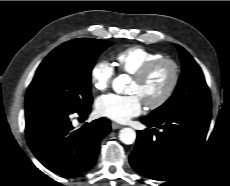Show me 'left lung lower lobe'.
<instances>
[{"mask_svg":"<svg viewBox=\"0 0 230 186\" xmlns=\"http://www.w3.org/2000/svg\"><path fill=\"white\" fill-rule=\"evenodd\" d=\"M210 119L211 111L201 110L181 112L161 119L145 117L142 123L163 130L137 131L136 147L130 155L131 166L150 179L169 180L202 148Z\"/></svg>","mask_w":230,"mask_h":186,"instance_id":"left-lung-lower-lobe-1","label":"left lung lower lobe"}]
</instances>
